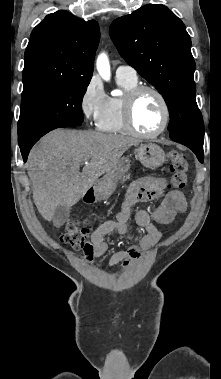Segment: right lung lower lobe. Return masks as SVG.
I'll return each mask as SVG.
<instances>
[{
    "mask_svg": "<svg viewBox=\"0 0 221 379\" xmlns=\"http://www.w3.org/2000/svg\"><path fill=\"white\" fill-rule=\"evenodd\" d=\"M38 139L39 138L33 139L31 141L26 140L23 142H19V147H20L21 154H22L24 161L27 160V157H28V154H29L31 147L35 144L36 141H38Z\"/></svg>",
    "mask_w": 221,
    "mask_h": 379,
    "instance_id": "98d812e1",
    "label": "right lung lower lobe"
}]
</instances>
